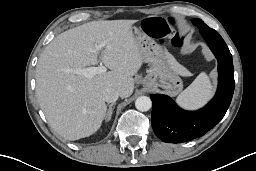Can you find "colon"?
I'll list each match as a JSON object with an SVG mask.
<instances>
[{"mask_svg": "<svg viewBox=\"0 0 256 171\" xmlns=\"http://www.w3.org/2000/svg\"><path fill=\"white\" fill-rule=\"evenodd\" d=\"M174 23L162 18H149L145 21V30L153 38L161 41L169 40L174 46L179 47L182 43L180 35L173 29Z\"/></svg>", "mask_w": 256, "mask_h": 171, "instance_id": "obj_1", "label": "colon"}]
</instances>
